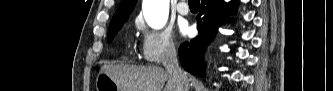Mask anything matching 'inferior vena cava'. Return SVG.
<instances>
[{"label": "inferior vena cava", "instance_id": "obj_1", "mask_svg": "<svg viewBox=\"0 0 333 91\" xmlns=\"http://www.w3.org/2000/svg\"><path fill=\"white\" fill-rule=\"evenodd\" d=\"M163 65L170 77L178 83V91H188L189 85L185 73L179 66L175 45L167 49Z\"/></svg>", "mask_w": 333, "mask_h": 91}]
</instances>
